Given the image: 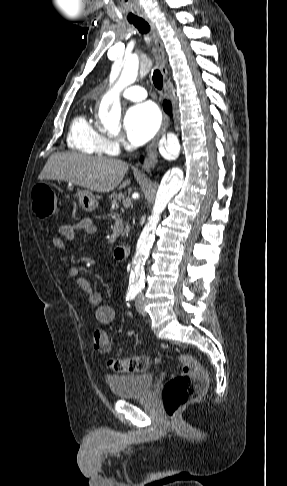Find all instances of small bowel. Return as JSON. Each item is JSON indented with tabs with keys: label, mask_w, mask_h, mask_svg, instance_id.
<instances>
[{
	"label": "small bowel",
	"mask_w": 287,
	"mask_h": 486,
	"mask_svg": "<svg viewBox=\"0 0 287 486\" xmlns=\"http://www.w3.org/2000/svg\"><path fill=\"white\" fill-rule=\"evenodd\" d=\"M95 234L97 226L91 217H84L76 224L60 226L52 238L54 247L61 251H69L77 236L81 233ZM70 278L88 295V300L95 307V318L98 323L107 325L115 318L114 309L104 304L102 295L95 291L90 282L81 274L77 267L69 270Z\"/></svg>",
	"instance_id": "c3829d8e"
}]
</instances>
